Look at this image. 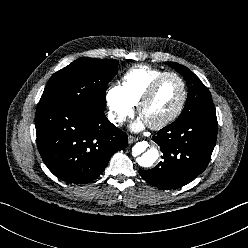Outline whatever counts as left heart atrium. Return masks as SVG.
<instances>
[{
	"instance_id": "left-heart-atrium-1",
	"label": "left heart atrium",
	"mask_w": 248,
	"mask_h": 248,
	"mask_svg": "<svg viewBox=\"0 0 248 248\" xmlns=\"http://www.w3.org/2000/svg\"><path fill=\"white\" fill-rule=\"evenodd\" d=\"M146 124L147 122L141 117L132 125V129L134 131H140L145 127Z\"/></svg>"
}]
</instances>
